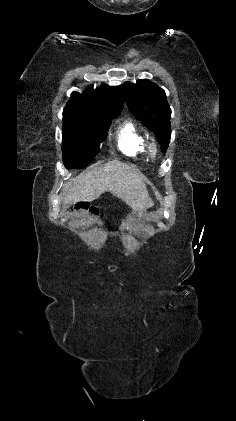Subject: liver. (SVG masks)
Listing matches in <instances>:
<instances>
[{
	"instance_id": "obj_1",
	"label": "liver",
	"mask_w": 236,
	"mask_h": 421,
	"mask_svg": "<svg viewBox=\"0 0 236 421\" xmlns=\"http://www.w3.org/2000/svg\"><path fill=\"white\" fill-rule=\"evenodd\" d=\"M66 186L67 190L63 192L65 202L95 200L108 190L129 204L136 213H143L145 208L153 206L140 172L121 160H109L103 166L91 164Z\"/></svg>"
}]
</instances>
